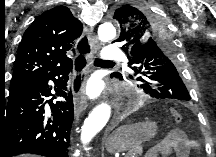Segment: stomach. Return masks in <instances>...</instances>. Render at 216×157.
<instances>
[{"label":"stomach","instance_id":"0dacf381","mask_svg":"<svg viewBox=\"0 0 216 157\" xmlns=\"http://www.w3.org/2000/svg\"><path fill=\"white\" fill-rule=\"evenodd\" d=\"M157 134L154 122L125 125L116 129L106 140L109 153H123L133 150L137 145L150 140Z\"/></svg>","mask_w":216,"mask_h":157}]
</instances>
